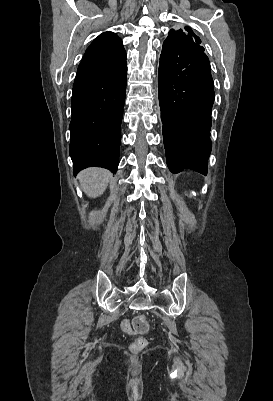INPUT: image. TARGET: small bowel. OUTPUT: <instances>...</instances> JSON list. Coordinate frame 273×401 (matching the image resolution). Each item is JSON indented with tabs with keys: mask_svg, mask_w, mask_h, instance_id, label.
I'll list each match as a JSON object with an SVG mask.
<instances>
[{
	"mask_svg": "<svg viewBox=\"0 0 273 401\" xmlns=\"http://www.w3.org/2000/svg\"><path fill=\"white\" fill-rule=\"evenodd\" d=\"M121 324L122 327L124 328V336L126 338H133L135 336V333L133 332V328L131 327L130 324V319L129 318H122L121 319Z\"/></svg>",
	"mask_w": 273,
	"mask_h": 401,
	"instance_id": "obj_1",
	"label": "small bowel"
}]
</instances>
